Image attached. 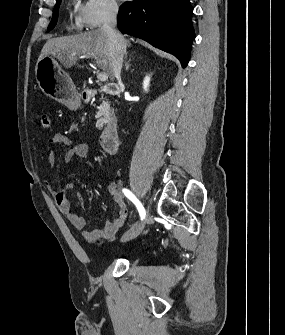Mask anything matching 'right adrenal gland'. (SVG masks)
Returning <instances> with one entry per match:
<instances>
[{
  "mask_svg": "<svg viewBox=\"0 0 285 335\" xmlns=\"http://www.w3.org/2000/svg\"><path fill=\"white\" fill-rule=\"evenodd\" d=\"M131 60H128V62H125V66H126V70H129L131 64H130Z\"/></svg>",
  "mask_w": 285,
  "mask_h": 335,
  "instance_id": "right-adrenal-gland-1",
  "label": "right adrenal gland"
}]
</instances>
